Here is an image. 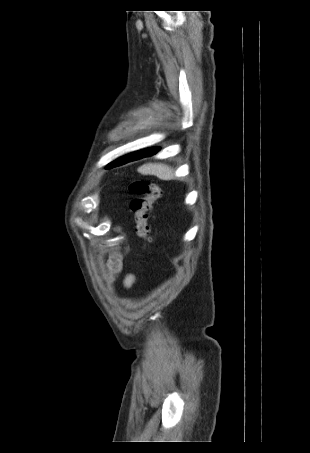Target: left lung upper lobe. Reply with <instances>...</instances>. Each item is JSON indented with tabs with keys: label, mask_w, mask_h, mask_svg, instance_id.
I'll list each match as a JSON object with an SVG mask.
<instances>
[{
	"label": "left lung upper lobe",
	"mask_w": 310,
	"mask_h": 453,
	"mask_svg": "<svg viewBox=\"0 0 310 453\" xmlns=\"http://www.w3.org/2000/svg\"><path fill=\"white\" fill-rule=\"evenodd\" d=\"M138 152H133V153H130V154H127L115 161H113L112 163H110L106 168H113V167H116V166H120V165H123L127 162H130L132 157L134 155H136Z\"/></svg>",
	"instance_id": "obj_1"
}]
</instances>
